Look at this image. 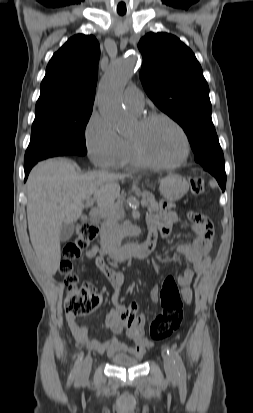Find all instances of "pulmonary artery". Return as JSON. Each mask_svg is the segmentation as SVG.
Here are the masks:
<instances>
[{
  "label": "pulmonary artery",
  "mask_w": 253,
  "mask_h": 413,
  "mask_svg": "<svg viewBox=\"0 0 253 413\" xmlns=\"http://www.w3.org/2000/svg\"><path fill=\"white\" fill-rule=\"evenodd\" d=\"M124 103L132 112L140 113L144 107V96L137 87L130 86L124 92Z\"/></svg>",
  "instance_id": "pulmonary-artery-1"
}]
</instances>
